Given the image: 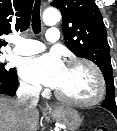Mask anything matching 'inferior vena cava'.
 I'll use <instances>...</instances> for the list:
<instances>
[{
	"mask_svg": "<svg viewBox=\"0 0 117 131\" xmlns=\"http://www.w3.org/2000/svg\"><path fill=\"white\" fill-rule=\"evenodd\" d=\"M40 91L39 86L22 85L17 90V100L25 108H34L37 106Z\"/></svg>",
	"mask_w": 117,
	"mask_h": 131,
	"instance_id": "inferior-vena-cava-1",
	"label": "inferior vena cava"
}]
</instances>
